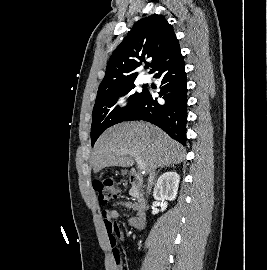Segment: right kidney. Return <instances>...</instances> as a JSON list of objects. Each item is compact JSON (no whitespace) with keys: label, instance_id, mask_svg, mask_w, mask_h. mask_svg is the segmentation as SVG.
Returning a JSON list of instances; mask_svg holds the SVG:
<instances>
[{"label":"right kidney","instance_id":"1","mask_svg":"<svg viewBox=\"0 0 267 270\" xmlns=\"http://www.w3.org/2000/svg\"><path fill=\"white\" fill-rule=\"evenodd\" d=\"M179 182L180 176L174 171L161 175L153 191L154 199L158 201H173L177 196Z\"/></svg>","mask_w":267,"mask_h":270}]
</instances>
